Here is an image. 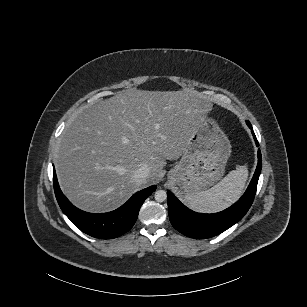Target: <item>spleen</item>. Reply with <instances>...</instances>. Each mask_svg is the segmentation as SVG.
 I'll list each match as a JSON object with an SVG mask.
<instances>
[{
	"mask_svg": "<svg viewBox=\"0 0 307 307\" xmlns=\"http://www.w3.org/2000/svg\"><path fill=\"white\" fill-rule=\"evenodd\" d=\"M248 177V165L238 166L212 188L198 193H187L184 200L194 212L214 214L224 211L241 198Z\"/></svg>",
	"mask_w": 307,
	"mask_h": 307,
	"instance_id": "spleen-1",
	"label": "spleen"
}]
</instances>
